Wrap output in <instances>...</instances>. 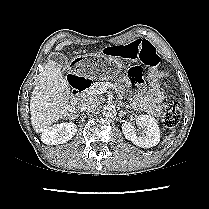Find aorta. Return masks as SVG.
Returning a JSON list of instances; mask_svg holds the SVG:
<instances>
[{
    "mask_svg": "<svg viewBox=\"0 0 209 209\" xmlns=\"http://www.w3.org/2000/svg\"><path fill=\"white\" fill-rule=\"evenodd\" d=\"M116 108L113 104H107L102 109V114L106 118H112L116 116Z\"/></svg>",
    "mask_w": 209,
    "mask_h": 209,
    "instance_id": "762f6f07",
    "label": "aorta"
}]
</instances>
